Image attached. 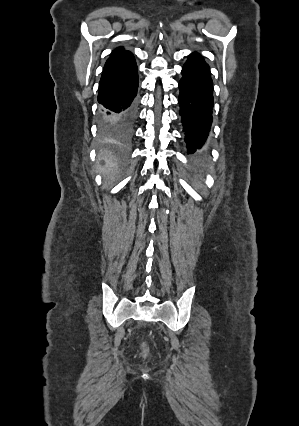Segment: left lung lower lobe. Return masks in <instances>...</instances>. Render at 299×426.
<instances>
[{"label":"left lung lower lobe","mask_w":299,"mask_h":426,"mask_svg":"<svg viewBox=\"0 0 299 426\" xmlns=\"http://www.w3.org/2000/svg\"><path fill=\"white\" fill-rule=\"evenodd\" d=\"M179 82L180 116L188 152L200 150L212 123L213 85L209 65L199 53H192L182 68Z\"/></svg>","instance_id":"left-lung-lower-lobe-1"}]
</instances>
